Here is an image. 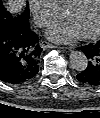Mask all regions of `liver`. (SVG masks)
<instances>
[{
    "instance_id": "6515ba94",
    "label": "liver",
    "mask_w": 100,
    "mask_h": 118,
    "mask_svg": "<svg viewBox=\"0 0 100 118\" xmlns=\"http://www.w3.org/2000/svg\"><path fill=\"white\" fill-rule=\"evenodd\" d=\"M5 2L11 12L18 13L25 6L26 0H5Z\"/></svg>"
}]
</instances>
